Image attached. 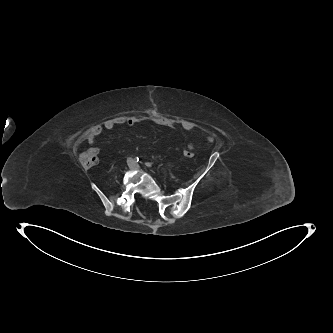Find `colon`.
I'll return each mask as SVG.
<instances>
[{
  "label": "colon",
  "instance_id": "5ec220e1",
  "mask_svg": "<svg viewBox=\"0 0 333 333\" xmlns=\"http://www.w3.org/2000/svg\"><path fill=\"white\" fill-rule=\"evenodd\" d=\"M183 156L186 159H196L199 153L196 150L184 149ZM79 160L83 167H92L97 163V154L93 150H88L80 155Z\"/></svg>",
  "mask_w": 333,
  "mask_h": 333
}]
</instances>
